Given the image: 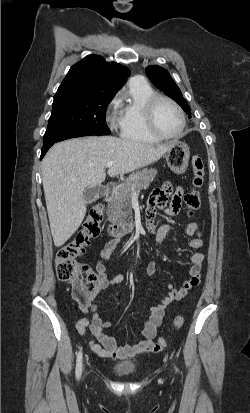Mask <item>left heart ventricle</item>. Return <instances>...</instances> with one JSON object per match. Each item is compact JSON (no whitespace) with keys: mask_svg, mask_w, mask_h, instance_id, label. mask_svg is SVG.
I'll list each match as a JSON object with an SVG mask.
<instances>
[{"mask_svg":"<svg viewBox=\"0 0 250 413\" xmlns=\"http://www.w3.org/2000/svg\"><path fill=\"white\" fill-rule=\"evenodd\" d=\"M155 124L161 133L173 135L180 129L181 118L178 111L170 103L160 101L155 111Z\"/></svg>","mask_w":250,"mask_h":413,"instance_id":"left-heart-ventricle-1","label":"left heart ventricle"}]
</instances>
